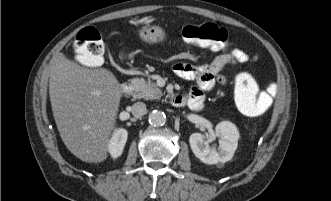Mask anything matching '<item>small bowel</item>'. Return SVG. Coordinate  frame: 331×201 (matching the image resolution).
Returning a JSON list of instances; mask_svg holds the SVG:
<instances>
[{
    "instance_id": "small-bowel-1",
    "label": "small bowel",
    "mask_w": 331,
    "mask_h": 201,
    "mask_svg": "<svg viewBox=\"0 0 331 201\" xmlns=\"http://www.w3.org/2000/svg\"><path fill=\"white\" fill-rule=\"evenodd\" d=\"M249 56L238 48H233L229 53L215 57L210 63L193 65L189 63H176L173 71L179 77L196 82L187 94H182L183 105H188L192 110H200L204 106L205 93L210 91L216 83L225 84L226 79L221 74L229 63L247 62Z\"/></svg>"
}]
</instances>
